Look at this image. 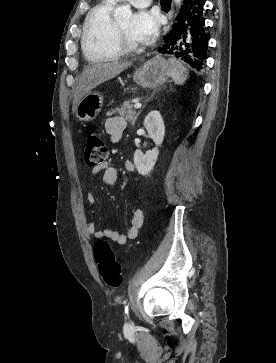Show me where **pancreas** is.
<instances>
[{"label": "pancreas", "instance_id": "pancreas-1", "mask_svg": "<svg viewBox=\"0 0 276 363\" xmlns=\"http://www.w3.org/2000/svg\"><path fill=\"white\" fill-rule=\"evenodd\" d=\"M119 114L121 117H123L125 120L131 122L133 124L135 118H136V112L132 108V103L130 101L125 102L121 107L112 109L107 113L108 116H111L112 114Z\"/></svg>", "mask_w": 276, "mask_h": 363}]
</instances>
